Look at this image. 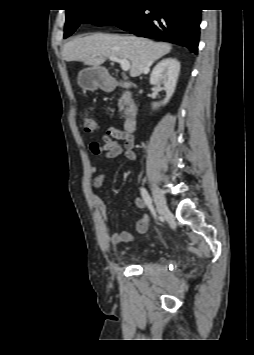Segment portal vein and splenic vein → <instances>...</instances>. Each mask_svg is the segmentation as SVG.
Instances as JSON below:
<instances>
[{"instance_id":"obj_1","label":"portal vein and splenic vein","mask_w":254,"mask_h":355,"mask_svg":"<svg viewBox=\"0 0 254 355\" xmlns=\"http://www.w3.org/2000/svg\"><path fill=\"white\" fill-rule=\"evenodd\" d=\"M109 59L119 63L123 71H128L130 69V62L127 59L118 58L116 56H110Z\"/></svg>"}]
</instances>
